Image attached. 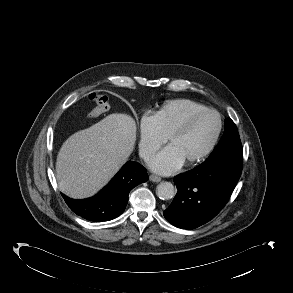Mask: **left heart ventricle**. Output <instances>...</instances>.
Wrapping results in <instances>:
<instances>
[{
    "instance_id": "b2bd125f",
    "label": "left heart ventricle",
    "mask_w": 293,
    "mask_h": 293,
    "mask_svg": "<svg viewBox=\"0 0 293 293\" xmlns=\"http://www.w3.org/2000/svg\"><path fill=\"white\" fill-rule=\"evenodd\" d=\"M217 126L218 121L215 115H202L184 134L173 138L169 146L176 150L185 163L204 151L213 139Z\"/></svg>"
}]
</instances>
